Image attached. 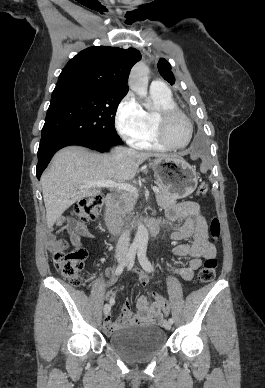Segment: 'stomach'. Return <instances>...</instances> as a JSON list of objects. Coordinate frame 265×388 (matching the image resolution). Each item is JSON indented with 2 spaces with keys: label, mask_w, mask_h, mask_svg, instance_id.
<instances>
[{
  "label": "stomach",
  "mask_w": 265,
  "mask_h": 388,
  "mask_svg": "<svg viewBox=\"0 0 265 388\" xmlns=\"http://www.w3.org/2000/svg\"><path fill=\"white\" fill-rule=\"evenodd\" d=\"M157 181L175 199L189 196L197 187L195 168L180 156L160 157L152 162Z\"/></svg>",
  "instance_id": "obj_1"
}]
</instances>
